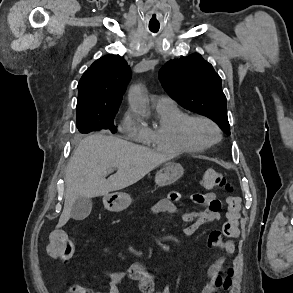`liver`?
I'll list each match as a JSON object with an SVG mask.
<instances>
[{"mask_svg":"<svg viewBox=\"0 0 293 293\" xmlns=\"http://www.w3.org/2000/svg\"><path fill=\"white\" fill-rule=\"evenodd\" d=\"M171 154L153 151L114 136L100 133L82 139L69 159L66 169V191L58 227L71 217V209L80 197L93 198L124 189L141 180ZM117 172L106 179L107 174Z\"/></svg>","mask_w":293,"mask_h":293,"instance_id":"liver-1","label":"liver"}]
</instances>
